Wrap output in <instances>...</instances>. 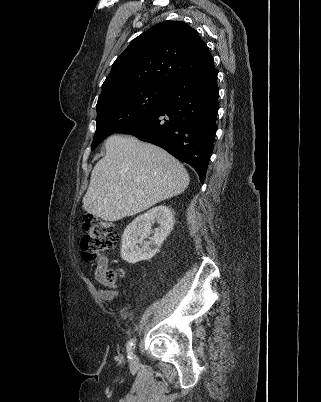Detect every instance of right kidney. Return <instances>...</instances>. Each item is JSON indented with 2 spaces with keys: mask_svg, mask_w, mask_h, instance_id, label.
<instances>
[{
  "mask_svg": "<svg viewBox=\"0 0 321 402\" xmlns=\"http://www.w3.org/2000/svg\"><path fill=\"white\" fill-rule=\"evenodd\" d=\"M158 223L153 237L149 238L151 225ZM171 210L164 205L156 206L135 218L122 235L121 257L130 264L151 259L173 229ZM149 238V241L145 239ZM140 244V246H138Z\"/></svg>",
  "mask_w": 321,
  "mask_h": 402,
  "instance_id": "1",
  "label": "right kidney"
}]
</instances>
